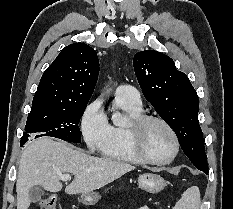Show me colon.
I'll return each instance as SVG.
<instances>
[{
    "mask_svg": "<svg viewBox=\"0 0 233 209\" xmlns=\"http://www.w3.org/2000/svg\"><path fill=\"white\" fill-rule=\"evenodd\" d=\"M56 206L57 198L55 196L46 197L40 202L41 209H56Z\"/></svg>",
    "mask_w": 233,
    "mask_h": 209,
    "instance_id": "obj_1",
    "label": "colon"
}]
</instances>
